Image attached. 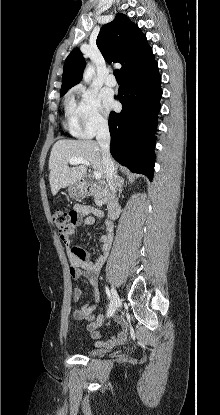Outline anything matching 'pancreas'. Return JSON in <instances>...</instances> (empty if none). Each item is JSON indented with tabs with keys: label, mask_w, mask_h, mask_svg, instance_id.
I'll use <instances>...</instances> for the list:
<instances>
[{
	"label": "pancreas",
	"mask_w": 220,
	"mask_h": 415,
	"mask_svg": "<svg viewBox=\"0 0 220 415\" xmlns=\"http://www.w3.org/2000/svg\"><path fill=\"white\" fill-rule=\"evenodd\" d=\"M93 195L97 206H102L107 201V191L103 189H94Z\"/></svg>",
	"instance_id": "obj_1"
}]
</instances>
